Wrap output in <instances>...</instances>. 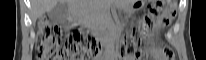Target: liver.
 <instances>
[{
	"mask_svg": "<svg viewBox=\"0 0 206 60\" xmlns=\"http://www.w3.org/2000/svg\"><path fill=\"white\" fill-rule=\"evenodd\" d=\"M67 1L68 0H31L32 19L35 21L44 13L54 8L58 3Z\"/></svg>",
	"mask_w": 206,
	"mask_h": 60,
	"instance_id": "obj_1",
	"label": "liver"
}]
</instances>
